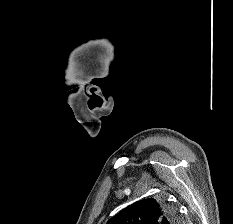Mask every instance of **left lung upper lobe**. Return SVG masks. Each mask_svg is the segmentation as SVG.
<instances>
[{
	"mask_svg": "<svg viewBox=\"0 0 233 224\" xmlns=\"http://www.w3.org/2000/svg\"><path fill=\"white\" fill-rule=\"evenodd\" d=\"M176 210L164 200L137 201L113 216L107 224H178Z\"/></svg>",
	"mask_w": 233,
	"mask_h": 224,
	"instance_id": "left-lung-upper-lobe-1",
	"label": "left lung upper lobe"
}]
</instances>
